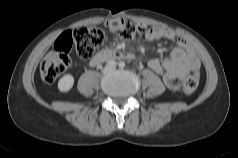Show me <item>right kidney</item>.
<instances>
[{
  "label": "right kidney",
  "instance_id": "obj_1",
  "mask_svg": "<svg viewBox=\"0 0 238 158\" xmlns=\"http://www.w3.org/2000/svg\"><path fill=\"white\" fill-rule=\"evenodd\" d=\"M74 85V77L71 74L64 75L58 82V89L61 92H68Z\"/></svg>",
  "mask_w": 238,
  "mask_h": 158
}]
</instances>
